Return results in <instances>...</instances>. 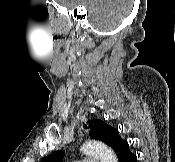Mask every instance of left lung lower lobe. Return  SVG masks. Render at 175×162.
<instances>
[{"instance_id":"obj_1","label":"left lung lower lobe","mask_w":175,"mask_h":162,"mask_svg":"<svg viewBox=\"0 0 175 162\" xmlns=\"http://www.w3.org/2000/svg\"><path fill=\"white\" fill-rule=\"evenodd\" d=\"M119 162H137V156L133 154L129 149V144L122 138L113 146Z\"/></svg>"}]
</instances>
